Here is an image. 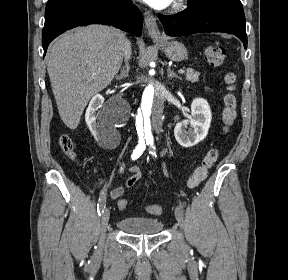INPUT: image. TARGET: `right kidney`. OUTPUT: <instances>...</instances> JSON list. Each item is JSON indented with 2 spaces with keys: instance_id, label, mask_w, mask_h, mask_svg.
<instances>
[{
  "instance_id": "obj_1",
  "label": "right kidney",
  "mask_w": 288,
  "mask_h": 280,
  "mask_svg": "<svg viewBox=\"0 0 288 280\" xmlns=\"http://www.w3.org/2000/svg\"><path fill=\"white\" fill-rule=\"evenodd\" d=\"M103 103L104 97L100 94L95 95L86 110L85 120L98 144L103 148H108L111 146L116 132L112 126L107 127L103 112L96 113V111L102 107Z\"/></svg>"
}]
</instances>
